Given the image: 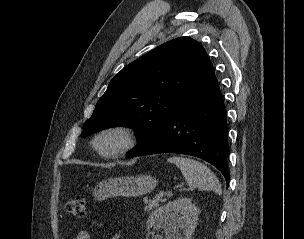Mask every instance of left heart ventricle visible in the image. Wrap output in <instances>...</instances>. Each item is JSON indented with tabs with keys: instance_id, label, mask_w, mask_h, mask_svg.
Listing matches in <instances>:
<instances>
[{
	"instance_id": "left-heart-ventricle-1",
	"label": "left heart ventricle",
	"mask_w": 304,
	"mask_h": 239,
	"mask_svg": "<svg viewBox=\"0 0 304 239\" xmlns=\"http://www.w3.org/2000/svg\"><path fill=\"white\" fill-rule=\"evenodd\" d=\"M119 144V140L115 136H107L103 138L100 142L101 147L104 150H111Z\"/></svg>"
}]
</instances>
